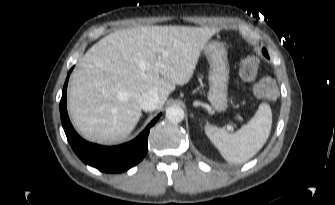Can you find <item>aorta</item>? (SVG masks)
<instances>
[{
    "instance_id": "1",
    "label": "aorta",
    "mask_w": 335,
    "mask_h": 205,
    "mask_svg": "<svg viewBox=\"0 0 335 205\" xmlns=\"http://www.w3.org/2000/svg\"><path fill=\"white\" fill-rule=\"evenodd\" d=\"M166 119L172 123H179L184 119V111L180 106L172 105L166 109Z\"/></svg>"
}]
</instances>
